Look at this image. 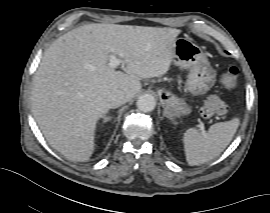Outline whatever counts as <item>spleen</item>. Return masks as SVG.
Wrapping results in <instances>:
<instances>
[{
  "label": "spleen",
  "instance_id": "3e777b00",
  "mask_svg": "<svg viewBox=\"0 0 270 213\" xmlns=\"http://www.w3.org/2000/svg\"><path fill=\"white\" fill-rule=\"evenodd\" d=\"M240 124L238 118L213 124L207 132L195 128L186 130L183 136L186 161L195 166L219 156L229 145Z\"/></svg>",
  "mask_w": 270,
  "mask_h": 213
}]
</instances>
